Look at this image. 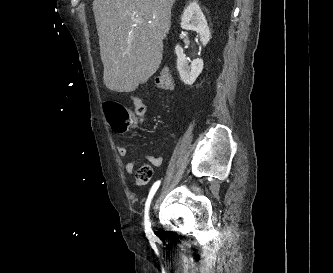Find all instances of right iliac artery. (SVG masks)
Returning a JSON list of instances; mask_svg holds the SVG:
<instances>
[{
	"instance_id": "1",
	"label": "right iliac artery",
	"mask_w": 333,
	"mask_h": 273,
	"mask_svg": "<svg viewBox=\"0 0 333 273\" xmlns=\"http://www.w3.org/2000/svg\"><path fill=\"white\" fill-rule=\"evenodd\" d=\"M159 185H160V181H157L153 184V186L149 192L146 204H145L144 227H145L146 236L149 240H152L155 238V234L153 233V231L151 229V223L149 221V207H150L151 200H152L155 192L157 191Z\"/></svg>"
}]
</instances>
